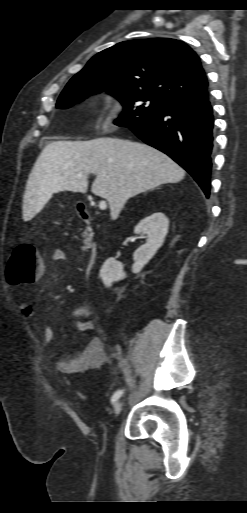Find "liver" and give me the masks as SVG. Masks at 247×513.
Returning <instances> with one entry per match:
<instances>
[{
	"label": "liver",
	"mask_w": 247,
	"mask_h": 513,
	"mask_svg": "<svg viewBox=\"0 0 247 513\" xmlns=\"http://www.w3.org/2000/svg\"><path fill=\"white\" fill-rule=\"evenodd\" d=\"M91 173L96 174L92 192L108 201L113 220L129 198L185 177V170L171 158L144 143L109 137L52 142L27 181L24 218L35 216L54 193H85Z\"/></svg>",
	"instance_id": "1"
}]
</instances>
